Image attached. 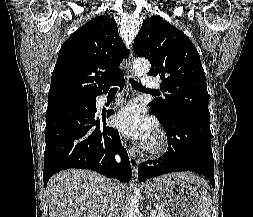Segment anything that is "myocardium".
Wrapping results in <instances>:
<instances>
[{
    "label": "myocardium",
    "mask_w": 253,
    "mask_h": 217,
    "mask_svg": "<svg viewBox=\"0 0 253 217\" xmlns=\"http://www.w3.org/2000/svg\"><path fill=\"white\" fill-rule=\"evenodd\" d=\"M147 151L152 155H160L167 149V140L162 132H158L146 145Z\"/></svg>",
    "instance_id": "obj_1"
}]
</instances>
